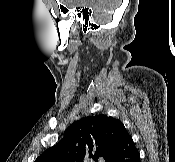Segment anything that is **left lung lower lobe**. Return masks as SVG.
I'll return each instance as SVG.
<instances>
[{
  "mask_svg": "<svg viewBox=\"0 0 175 162\" xmlns=\"http://www.w3.org/2000/svg\"><path fill=\"white\" fill-rule=\"evenodd\" d=\"M109 162H140L139 152L128 132L123 135Z\"/></svg>",
  "mask_w": 175,
  "mask_h": 162,
  "instance_id": "0a47b994",
  "label": "left lung lower lobe"
}]
</instances>
